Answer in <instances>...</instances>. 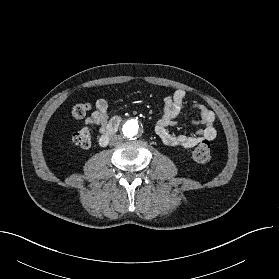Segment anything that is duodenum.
<instances>
[{
    "mask_svg": "<svg viewBox=\"0 0 279 279\" xmlns=\"http://www.w3.org/2000/svg\"><path fill=\"white\" fill-rule=\"evenodd\" d=\"M121 123V119L119 117H115L110 124L108 125L106 131L99 139V143L101 146H106L113 135L117 132Z\"/></svg>",
    "mask_w": 279,
    "mask_h": 279,
    "instance_id": "410a0bca",
    "label": "duodenum"
}]
</instances>
